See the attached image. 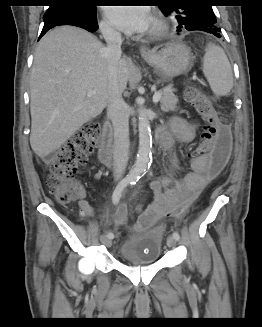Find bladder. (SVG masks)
Returning a JSON list of instances; mask_svg holds the SVG:
<instances>
[{
    "instance_id": "obj_1",
    "label": "bladder",
    "mask_w": 262,
    "mask_h": 327,
    "mask_svg": "<svg viewBox=\"0 0 262 327\" xmlns=\"http://www.w3.org/2000/svg\"><path fill=\"white\" fill-rule=\"evenodd\" d=\"M164 234L158 230L133 232L119 247L122 261L152 264L160 260Z\"/></svg>"
}]
</instances>
